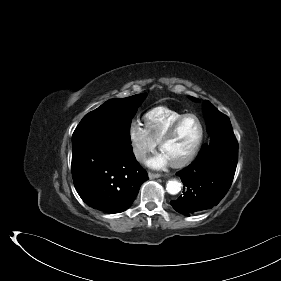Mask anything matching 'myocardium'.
<instances>
[{
	"label": "myocardium",
	"instance_id": "myocardium-1",
	"mask_svg": "<svg viewBox=\"0 0 281 281\" xmlns=\"http://www.w3.org/2000/svg\"><path fill=\"white\" fill-rule=\"evenodd\" d=\"M189 117H194L199 124V137L198 140L196 142V144L194 145V147L192 148V150L187 153L185 156H183L182 158L171 162V165L174 167H183L187 164H189L198 154L202 143H203V139H204V125L203 122L201 120V118L194 113H186L183 114L181 117H179L177 120H175L171 126L168 128V130L164 133V135L162 136V138L159 141V149L162 151V148L164 147V145L172 139V137L175 135V133L177 132L179 126L182 124V122L189 118Z\"/></svg>",
	"mask_w": 281,
	"mask_h": 281
}]
</instances>
